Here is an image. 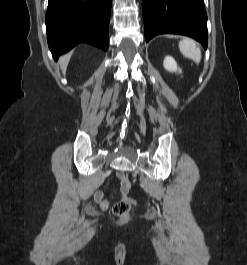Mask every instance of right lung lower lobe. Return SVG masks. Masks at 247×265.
Instances as JSON below:
<instances>
[{"instance_id": "right-lung-lower-lobe-1", "label": "right lung lower lobe", "mask_w": 247, "mask_h": 265, "mask_svg": "<svg viewBox=\"0 0 247 265\" xmlns=\"http://www.w3.org/2000/svg\"><path fill=\"white\" fill-rule=\"evenodd\" d=\"M112 0H48L46 31L54 58L81 42L106 51Z\"/></svg>"}]
</instances>
